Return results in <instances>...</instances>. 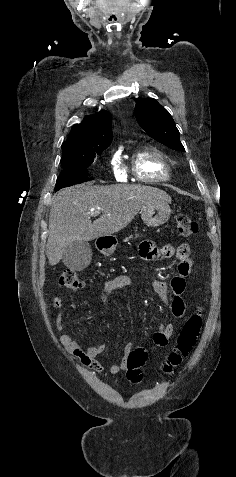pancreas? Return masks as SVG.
Here are the masks:
<instances>
[{
    "mask_svg": "<svg viewBox=\"0 0 236 477\" xmlns=\"http://www.w3.org/2000/svg\"><path fill=\"white\" fill-rule=\"evenodd\" d=\"M131 238H133V237H132V236H130V237L126 238V241H127V240H129V239H131Z\"/></svg>",
    "mask_w": 236,
    "mask_h": 477,
    "instance_id": "obj_1",
    "label": "pancreas"
}]
</instances>
